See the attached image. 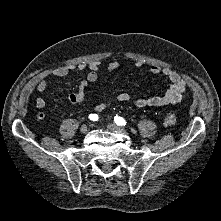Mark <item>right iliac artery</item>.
I'll use <instances>...</instances> for the list:
<instances>
[{
    "label": "right iliac artery",
    "mask_w": 221,
    "mask_h": 221,
    "mask_svg": "<svg viewBox=\"0 0 221 221\" xmlns=\"http://www.w3.org/2000/svg\"><path fill=\"white\" fill-rule=\"evenodd\" d=\"M90 120L92 121H97L98 120V115L97 114H90L89 115Z\"/></svg>",
    "instance_id": "obj_1"
}]
</instances>
